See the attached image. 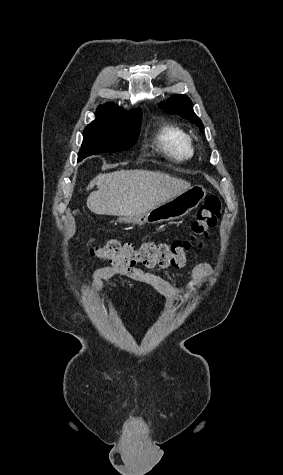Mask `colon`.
I'll use <instances>...</instances> for the list:
<instances>
[{
  "mask_svg": "<svg viewBox=\"0 0 283 475\" xmlns=\"http://www.w3.org/2000/svg\"><path fill=\"white\" fill-rule=\"evenodd\" d=\"M221 216V202L210 196L199 207L191 223V234L185 240L175 242H144L136 247L133 242L112 241L94 251V256L112 262L123 269H132L136 264L147 267H182L195 251L204 248L203 239L210 228L215 227Z\"/></svg>",
  "mask_w": 283,
  "mask_h": 475,
  "instance_id": "5ec220e1",
  "label": "colon"
}]
</instances>
